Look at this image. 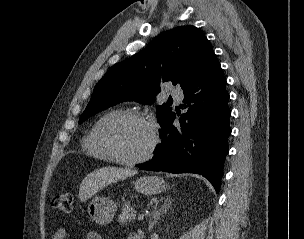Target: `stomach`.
<instances>
[{"mask_svg": "<svg viewBox=\"0 0 304 239\" xmlns=\"http://www.w3.org/2000/svg\"><path fill=\"white\" fill-rule=\"evenodd\" d=\"M134 185L139 193L145 195L157 194L166 187L164 180L158 176L141 177L135 181ZM116 210L117 204L107 197H95L87 207L90 218L99 225L110 223Z\"/></svg>", "mask_w": 304, "mask_h": 239, "instance_id": "0dacf381", "label": "stomach"}]
</instances>
